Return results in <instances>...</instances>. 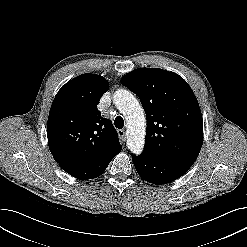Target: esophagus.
Wrapping results in <instances>:
<instances>
[{
    "label": "esophagus",
    "mask_w": 247,
    "mask_h": 247,
    "mask_svg": "<svg viewBox=\"0 0 247 247\" xmlns=\"http://www.w3.org/2000/svg\"><path fill=\"white\" fill-rule=\"evenodd\" d=\"M118 135L122 143L126 140L125 130H118Z\"/></svg>",
    "instance_id": "obj_1"
}]
</instances>
